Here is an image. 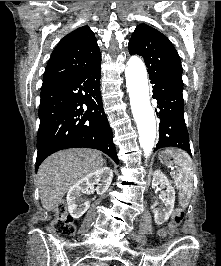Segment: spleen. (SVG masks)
Masks as SVG:
<instances>
[{"instance_id": "3e777b00", "label": "spleen", "mask_w": 221, "mask_h": 266, "mask_svg": "<svg viewBox=\"0 0 221 266\" xmlns=\"http://www.w3.org/2000/svg\"><path fill=\"white\" fill-rule=\"evenodd\" d=\"M178 165L174 183L179 189L180 200L186 207L192 196L193 169L190 156L181 150L167 149Z\"/></svg>"}]
</instances>
